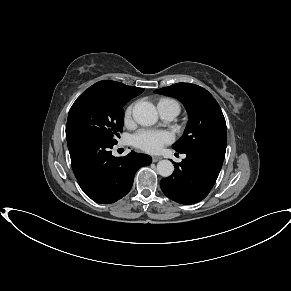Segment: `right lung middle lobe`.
Listing matches in <instances>:
<instances>
[{
	"label": "right lung middle lobe",
	"instance_id": "dd1d6c3e",
	"mask_svg": "<svg viewBox=\"0 0 291 291\" xmlns=\"http://www.w3.org/2000/svg\"><path fill=\"white\" fill-rule=\"evenodd\" d=\"M128 101L91 86L70 108L66 134H85L115 145L123 127V106Z\"/></svg>",
	"mask_w": 291,
	"mask_h": 291
}]
</instances>
